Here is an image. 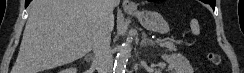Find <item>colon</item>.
<instances>
[{
    "instance_id": "colon-1",
    "label": "colon",
    "mask_w": 244,
    "mask_h": 73,
    "mask_svg": "<svg viewBox=\"0 0 244 73\" xmlns=\"http://www.w3.org/2000/svg\"><path fill=\"white\" fill-rule=\"evenodd\" d=\"M210 61L215 64L218 65L220 63V57L217 54H211L210 55Z\"/></svg>"
}]
</instances>
